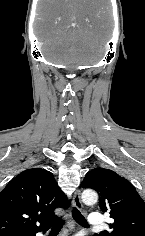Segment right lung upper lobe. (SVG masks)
I'll return each instance as SVG.
<instances>
[{"label":"right lung upper lobe","instance_id":"obj_1","mask_svg":"<svg viewBox=\"0 0 145 236\" xmlns=\"http://www.w3.org/2000/svg\"><path fill=\"white\" fill-rule=\"evenodd\" d=\"M68 207L51 172L25 170L0 193V236H31L49 229L57 219L54 210Z\"/></svg>","mask_w":145,"mask_h":236}]
</instances>
